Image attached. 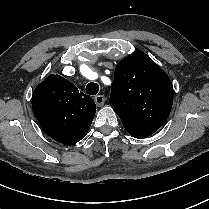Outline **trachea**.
<instances>
[{
    "instance_id": "obj_1",
    "label": "trachea",
    "mask_w": 209,
    "mask_h": 209,
    "mask_svg": "<svg viewBox=\"0 0 209 209\" xmlns=\"http://www.w3.org/2000/svg\"><path fill=\"white\" fill-rule=\"evenodd\" d=\"M86 92L89 95H96L99 92V85L97 83H88L86 86Z\"/></svg>"
}]
</instances>
